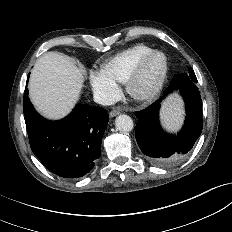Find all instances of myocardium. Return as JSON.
Returning a JSON list of instances; mask_svg holds the SVG:
<instances>
[{"instance_id": "obj_1", "label": "myocardium", "mask_w": 232, "mask_h": 232, "mask_svg": "<svg viewBox=\"0 0 232 232\" xmlns=\"http://www.w3.org/2000/svg\"><path fill=\"white\" fill-rule=\"evenodd\" d=\"M155 57L162 59L161 69L156 79L146 88H139L140 79L149 64ZM169 70V60L163 51L153 50L144 55L134 66L125 81V89L128 95L136 101L146 102L155 98L164 86Z\"/></svg>"}]
</instances>
